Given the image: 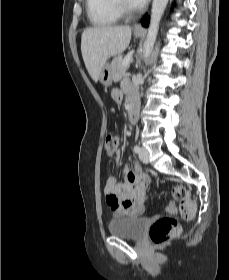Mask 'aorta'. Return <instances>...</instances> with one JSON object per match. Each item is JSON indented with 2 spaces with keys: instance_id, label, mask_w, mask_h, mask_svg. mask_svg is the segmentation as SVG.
<instances>
[{
  "instance_id": "obj_1",
  "label": "aorta",
  "mask_w": 229,
  "mask_h": 280,
  "mask_svg": "<svg viewBox=\"0 0 229 280\" xmlns=\"http://www.w3.org/2000/svg\"><path fill=\"white\" fill-rule=\"evenodd\" d=\"M168 0H153L152 9H151V20L150 25L147 33V37L143 46V57L146 60L154 47L159 24L162 18V15L165 11L167 6Z\"/></svg>"
}]
</instances>
